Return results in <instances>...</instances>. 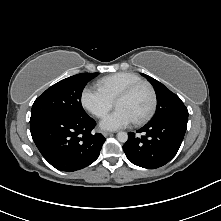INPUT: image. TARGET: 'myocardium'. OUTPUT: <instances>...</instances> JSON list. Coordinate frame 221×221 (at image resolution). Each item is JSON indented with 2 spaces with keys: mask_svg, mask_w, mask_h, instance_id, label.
Instances as JSON below:
<instances>
[{
  "mask_svg": "<svg viewBox=\"0 0 221 221\" xmlns=\"http://www.w3.org/2000/svg\"><path fill=\"white\" fill-rule=\"evenodd\" d=\"M142 86H146L149 88L150 92H151V97H152V102H151V106L150 109L148 110V112L141 117L138 120H135L134 123L136 125H141L146 123L148 120H150L152 118V116L154 115L155 111H156V107H157V93L155 88L153 87V85L147 81H139L136 83L131 84L130 86H128L126 89H124L116 98L115 100V105H117V103L127 97H129L132 93H134L138 88L142 87Z\"/></svg>",
  "mask_w": 221,
  "mask_h": 221,
  "instance_id": "obj_1",
  "label": "myocardium"
}]
</instances>
